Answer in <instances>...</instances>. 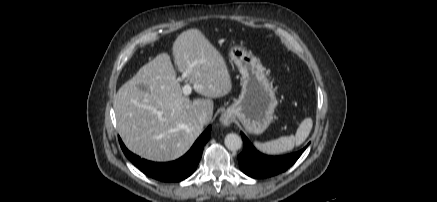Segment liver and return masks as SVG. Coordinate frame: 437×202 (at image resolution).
<instances>
[{"label":"liver","mask_w":437,"mask_h":202,"mask_svg":"<svg viewBox=\"0 0 437 202\" xmlns=\"http://www.w3.org/2000/svg\"><path fill=\"white\" fill-rule=\"evenodd\" d=\"M175 65L186 73L194 91L205 99L183 95L170 56L157 55L118 90L114 110L118 132L133 153L151 161H171L184 155L203 130L201 113L211 120L212 98L232 89L224 57L199 29L182 32L172 47ZM147 86L142 91L139 85Z\"/></svg>","instance_id":"obj_1"}]
</instances>
